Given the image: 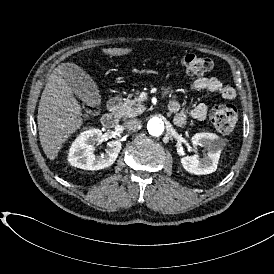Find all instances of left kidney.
I'll use <instances>...</instances> for the list:
<instances>
[{"instance_id": "obj_1", "label": "left kidney", "mask_w": 274, "mask_h": 274, "mask_svg": "<svg viewBox=\"0 0 274 274\" xmlns=\"http://www.w3.org/2000/svg\"><path fill=\"white\" fill-rule=\"evenodd\" d=\"M191 144L194 148L201 146L207 153L201 158L199 153L193 156H184L180 159L183 168L196 175L211 174L216 171L222 143L220 138L213 133H196L191 137Z\"/></svg>"}]
</instances>
